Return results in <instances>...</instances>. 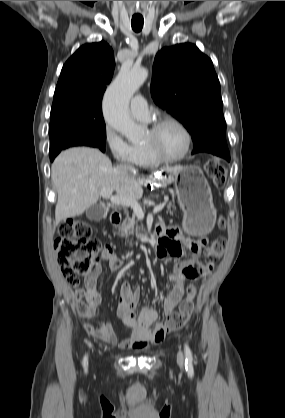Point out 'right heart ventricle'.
I'll use <instances>...</instances> for the list:
<instances>
[{
	"label": "right heart ventricle",
	"mask_w": 285,
	"mask_h": 418,
	"mask_svg": "<svg viewBox=\"0 0 285 418\" xmlns=\"http://www.w3.org/2000/svg\"><path fill=\"white\" fill-rule=\"evenodd\" d=\"M130 145L133 149L136 164L146 167H154L160 164V162L156 161L149 155L143 143H132Z\"/></svg>",
	"instance_id": "right-heart-ventricle-1"
}]
</instances>
